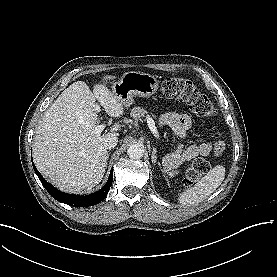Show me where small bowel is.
<instances>
[{
	"instance_id": "obj_1",
	"label": "small bowel",
	"mask_w": 277,
	"mask_h": 277,
	"mask_svg": "<svg viewBox=\"0 0 277 277\" xmlns=\"http://www.w3.org/2000/svg\"><path fill=\"white\" fill-rule=\"evenodd\" d=\"M159 123L163 126H168L178 138L183 139L187 130L191 127L192 121L186 114L166 112L161 115ZM220 148L221 144L219 142L211 140L189 147L181 144L172 159H181L184 162H189L198 156H207L213 152L219 153Z\"/></svg>"
}]
</instances>
